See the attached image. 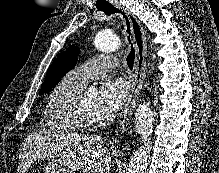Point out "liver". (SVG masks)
Here are the masks:
<instances>
[{"label":"liver","mask_w":219,"mask_h":173,"mask_svg":"<svg viewBox=\"0 0 219 173\" xmlns=\"http://www.w3.org/2000/svg\"><path fill=\"white\" fill-rule=\"evenodd\" d=\"M97 135H57L47 130L34 131L22 142L18 172L25 173L36 159H51L81 173H109L111 157Z\"/></svg>","instance_id":"obj_1"}]
</instances>
